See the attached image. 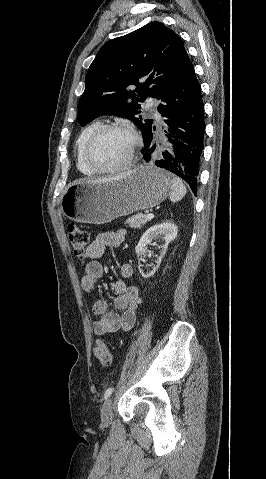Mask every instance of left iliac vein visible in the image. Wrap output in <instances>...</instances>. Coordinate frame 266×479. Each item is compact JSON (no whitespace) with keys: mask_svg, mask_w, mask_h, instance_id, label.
Masks as SVG:
<instances>
[{"mask_svg":"<svg viewBox=\"0 0 266 479\" xmlns=\"http://www.w3.org/2000/svg\"><path fill=\"white\" fill-rule=\"evenodd\" d=\"M112 417H113V413H112V399L109 398L107 399L104 404L102 405V408H101V421H102V424L105 425V426H108L111 424L112 422Z\"/></svg>","mask_w":266,"mask_h":479,"instance_id":"obj_1","label":"left iliac vein"}]
</instances>
